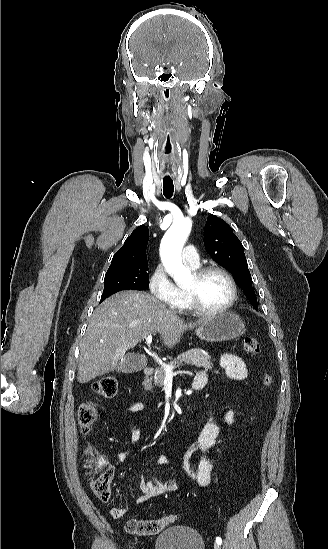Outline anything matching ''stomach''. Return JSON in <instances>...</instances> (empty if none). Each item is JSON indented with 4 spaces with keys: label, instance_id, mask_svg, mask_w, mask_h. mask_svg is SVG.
<instances>
[{
    "label": "stomach",
    "instance_id": "stomach-1",
    "mask_svg": "<svg viewBox=\"0 0 328 549\" xmlns=\"http://www.w3.org/2000/svg\"><path fill=\"white\" fill-rule=\"evenodd\" d=\"M245 331V325L239 315H236L233 311H223V313H216L212 317H207L195 333L203 341L218 343V341L237 339V337L244 335Z\"/></svg>",
    "mask_w": 328,
    "mask_h": 549
}]
</instances>
